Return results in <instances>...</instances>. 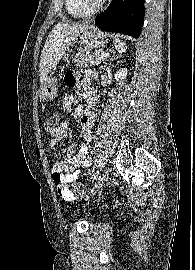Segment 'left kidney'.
Returning a JSON list of instances; mask_svg holds the SVG:
<instances>
[{
    "label": "left kidney",
    "instance_id": "left-kidney-1",
    "mask_svg": "<svg viewBox=\"0 0 195 270\" xmlns=\"http://www.w3.org/2000/svg\"><path fill=\"white\" fill-rule=\"evenodd\" d=\"M127 76V69H119L117 70L116 74H115V79L117 81L119 80H124Z\"/></svg>",
    "mask_w": 195,
    "mask_h": 270
}]
</instances>
